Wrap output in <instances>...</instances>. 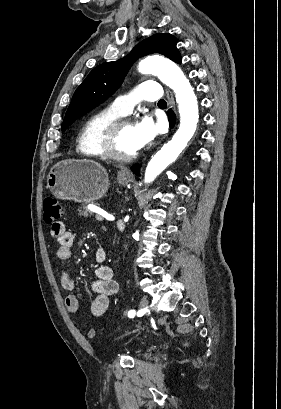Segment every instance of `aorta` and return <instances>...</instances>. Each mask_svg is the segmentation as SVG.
<instances>
[{
    "instance_id": "aorta-1",
    "label": "aorta",
    "mask_w": 281,
    "mask_h": 409,
    "mask_svg": "<svg viewBox=\"0 0 281 409\" xmlns=\"http://www.w3.org/2000/svg\"><path fill=\"white\" fill-rule=\"evenodd\" d=\"M138 70L142 74L158 76L174 91L180 114L179 129L146 167L144 181L150 183L177 159L193 137L199 119L198 102L189 80L172 61L158 56L147 57L139 63Z\"/></svg>"
}]
</instances>
